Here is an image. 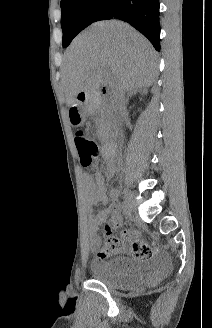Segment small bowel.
I'll return each instance as SVG.
<instances>
[{
	"instance_id": "obj_1",
	"label": "small bowel",
	"mask_w": 212,
	"mask_h": 328,
	"mask_svg": "<svg viewBox=\"0 0 212 328\" xmlns=\"http://www.w3.org/2000/svg\"><path fill=\"white\" fill-rule=\"evenodd\" d=\"M83 192L87 208L89 210V228L91 233V247L94 251H99L101 241L97 235L98 228L106 221L110 214V227L117 228L122 223V213L118 203V191L112 189L109 192L111 203L104 209L97 213L92 212V208L98 204L106 205L108 196L106 193L105 178L101 173H96L94 176H83ZM110 253L116 254H132L133 256L144 259L147 253L153 254V250L144 242L138 239V232L136 229H126L121 232L120 238H115L114 248ZM108 254L103 251L98 252L99 258H106Z\"/></svg>"
}]
</instances>
